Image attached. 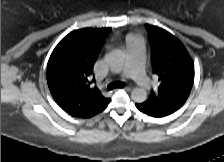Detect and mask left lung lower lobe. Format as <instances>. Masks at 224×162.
Wrapping results in <instances>:
<instances>
[{
	"label": "left lung lower lobe",
	"instance_id": "left-lung-lower-lobe-1",
	"mask_svg": "<svg viewBox=\"0 0 224 162\" xmlns=\"http://www.w3.org/2000/svg\"><path fill=\"white\" fill-rule=\"evenodd\" d=\"M136 107L143 113L149 115V116H153V117H163V116H167L171 113H173V111H169V110H153V109H146L144 107L141 106V104H136Z\"/></svg>",
	"mask_w": 224,
	"mask_h": 162
}]
</instances>
